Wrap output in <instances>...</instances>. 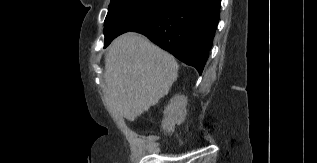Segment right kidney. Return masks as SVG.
Masks as SVG:
<instances>
[{
	"mask_svg": "<svg viewBox=\"0 0 317 163\" xmlns=\"http://www.w3.org/2000/svg\"><path fill=\"white\" fill-rule=\"evenodd\" d=\"M187 97L184 95H176L164 110V119L162 121V129L168 133L174 131L175 125L181 124L187 115Z\"/></svg>",
	"mask_w": 317,
	"mask_h": 163,
	"instance_id": "right-kidney-1",
	"label": "right kidney"
}]
</instances>
